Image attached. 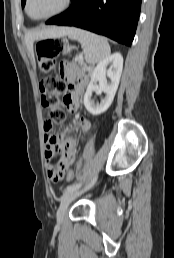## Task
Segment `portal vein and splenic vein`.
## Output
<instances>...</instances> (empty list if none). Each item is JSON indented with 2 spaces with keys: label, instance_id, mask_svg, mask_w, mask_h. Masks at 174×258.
<instances>
[{
  "label": "portal vein and splenic vein",
  "instance_id": "portal-vein-and-splenic-vein-1",
  "mask_svg": "<svg viewBox=\"0 0 174 258\" xmlns=\"http://www.w3.org/2000/svg\"><path fill=\"white\" fill-rule=\"evenodd\" d=\"M77 58H79V59H83V56H82V55H79Z\"/></svg>",
  "mask_w": 174,
  "mask_h": 258
}]
</instances>
